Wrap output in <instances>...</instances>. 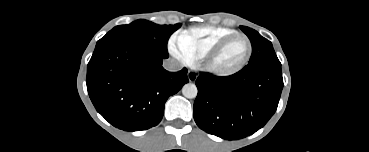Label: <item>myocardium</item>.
<instances>
[{"label":"myocardium","mask_w":369,"mask_h":152,"mask_svg":"<svg viewBox=\"0 0 369 152\" xmlns=\"http://www.w3.org/2000/svg\"><path fill=\"white\" fill-rule=\"evenodd\" d=\"M242 38L247 42V53L242 62L236 67L229 70H220L214 66V60L220 54V52L234 39ZM253 51L251 40L242 33H234L217 42L201 59L202 68L217 77H228L240 72L249 63Z\"/></svg>","instance_id":"myocardium-1"}]
</instances>
